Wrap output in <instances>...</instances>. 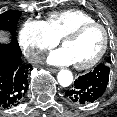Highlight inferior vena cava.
I'll return each mask as SVG.
<instances>
[{"label": "inferior vena cava", "instance_id": "inferior-vena-cava-1", "mask_svg": "<svg viewBox=\"0 0 117 117\" xmlns=\"http://www.w3.org/2000/svg\"><path fill=\"white\" fill-rule=\"evenodd\" d=\"M44 60V55L42 53H38V52H33L30 56H29V61L31 63H41Z\"/></svg>", "mask_w": 117, "mask_h": 117}]
</instances>
